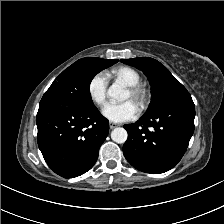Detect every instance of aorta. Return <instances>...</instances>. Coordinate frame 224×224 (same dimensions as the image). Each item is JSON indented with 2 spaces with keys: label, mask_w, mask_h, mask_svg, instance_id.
Returning <instances> with one entry per match:
<instances>
[{
  "label": "aorta",
  "mask_w": 224,
  "mask_h": 224,
  "mask_svg": "<svg viewBox=\"0 0 224 224\" xmlns=\"http://www.w3.org/2000/svg\"><path fill=\"white\" fill-rule=\"evenodd\" d=\"M108 96L113 100L122 101L127 98L126 91L120 83H113L107 92ZM128 138L127 131L122 127H117L111 132V139L118 143H125Z\"/></svg>",
  "instance_id": "1"
}]
</instances>
